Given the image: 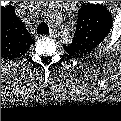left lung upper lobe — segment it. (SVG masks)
Segmentation results:
<instances>
[{
  "label": "left lung upper lobe",
  "instance_id": "left-lung-upper-lobe-1",
  "mask_svg": "<svg viewBox=\"0 0 121 121\" xmlns=\"http://www.w3.org/2000/svg\"><path fill=\"white\" fill-rule=\"evenodd\" d=\"M111 28L112 16L104 6L84 5L79 10L73 41L63 47L69 55H85L106 38Z\"/></svg>",
  "mask_w": 121,
  "mask_h": 121
}]
</instances>
